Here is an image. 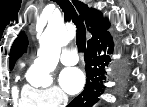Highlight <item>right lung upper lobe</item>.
Returning <instances> with one entry per match:
<instances>
[{"mask_svg": "<svg viewBox=\"0 0 147 107\" xmlns=\"http://www.w3.org/2000/svg\"><path fill=\"white\" fill-rule=\"evenodd\" d=\"M72 2L80 13V18L86 21L87 30L92 34V38L88 41V44L102 40L109 34L107 31L109 23L102 20V15L99 11L92 8L89 9L87 5L78 0H72ZM27 45L28 40L26 35L20 33L15 39L10 51V67H14L16 60L20 58L23 52L27 49Z\"/></svg>", "mask_w": 147, "mask_h": 107, "instance_id": "cb5924a9", "label": "right lung upper lobe"}]
</instances>
